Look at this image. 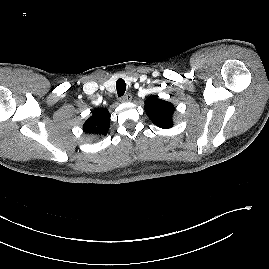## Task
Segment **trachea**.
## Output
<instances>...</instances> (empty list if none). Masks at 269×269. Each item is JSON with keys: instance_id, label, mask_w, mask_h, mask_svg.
I'll return each instance as SVG.
<instances>
[{"instance_id": "3493384b", "label": "trachea", "mask_w": 269, "mask_h": 269, "mask_svg": "<svg viewBox=\"0 0 269 269\" xmlns=\"http://www.w3.org/2000/svg\"><path fill=\"white\" fill-rule=\"evenodd\" d=\"M116 89L119 97L124 95L126 91V83L123 79L120 78L116 81Z\"/></svg>"}]
</instances>
